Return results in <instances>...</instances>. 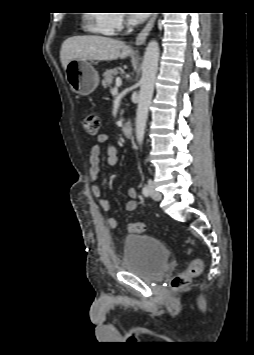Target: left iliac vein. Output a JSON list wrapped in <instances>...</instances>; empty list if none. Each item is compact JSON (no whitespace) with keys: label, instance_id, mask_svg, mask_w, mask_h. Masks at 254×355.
I'll return each mask as SVG.
<instances>
[{"label":"left iliac vein","instance_id":"1","mask_svg":"<svg viewBox=\"0 0 254 355\" xmlns=\"http://www.w3.org/2000/svg\"><path fill=\"white\" fill-rule=\"evenodd\" d=\"M148 187L151 198L155 201H160L162 199V195L155 189V186L152 181L148 182Z\"/></svg>","mask_w":254,"mask_h":355}]
</instances>
